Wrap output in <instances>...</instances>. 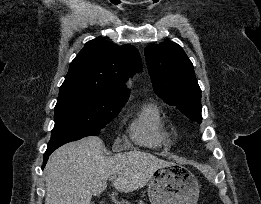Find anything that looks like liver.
<instances>
[{"label": "liver", "instance_id": "liver-1", "mask_svg": "<svg viewBox=\"0 0 261 204\" xmlns=\"http://www.w3.org/2000/svg\"><path fill=\"white\" fill-rule=\"evenodd\" d=\"M104 143L96 136L70 142L57 149L45 167V204H92L107 180L116 176L113 186L121 192L144 187L159 167L167 165L150 153L129 151L104 155Z\"/></svg>", "mask_w": 261, "mask_h": 204}]
</instances>
